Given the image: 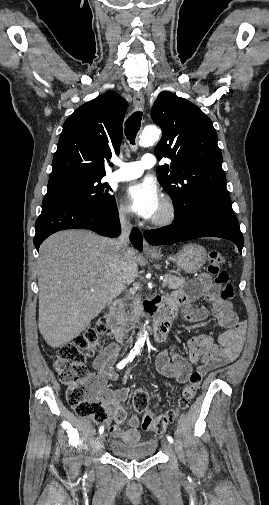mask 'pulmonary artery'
<instances>
[{"label": "pulmonary artery", "mask_w": 269, "mask_h": 505, "mask_svg": "<svg viewBox=\"0 0 269 505\" xmlns=\"http://www.w3.org/2000/svg\"><path fill=\"white\" fill-rule=\"evenodd\" d=\"M118 170L110 175L112 181H128L141 176L145 169L152 168L156 164V158L152 154H145L139 161L122 162L115 160Z\"/></svg>", "instance_id": "1"}]
</instances>
